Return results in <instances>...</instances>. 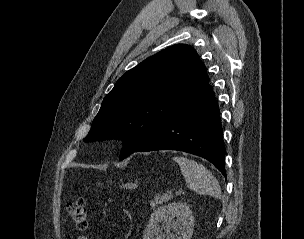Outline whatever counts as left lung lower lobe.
<instances>
[{"instance_id": "left-lung-lower-lobe-1", "label": "left lung lower lobe", "mask_w": 304, "mask_h": 239, "mask_svg": "<svg viewBox=\"0 0 304 239\" xmlns=\"http://www.w3.org/2000/svg\"><path fill=\"white\" fill-rule=\"evenodd\" d=\"M153 150H178L203 157L226 177L219 107L209 83L199 95L133 152Z\"/></svg>"}]
</instances>
